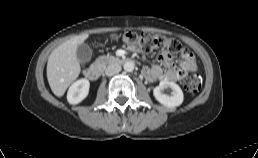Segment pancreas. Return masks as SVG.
Returning a JSON list of instances; mask_svg holds the SVG:
<instances>
[{
    "mask_svg": "<svg viewBox=\"0 0 258 158\" xmlns=\"http://www.w3.org/2000/svg\"><path fill=\"white\" fill-rule=\"evenodd\" d=\"M109 58L108 57H104V56H101L99 57L96 62H108Z\"/></svg>",
    "mask_w": 258,
    "mask_h": 158,
    "instance_id": "pancreas-1",
    "label": "pancreas"
}]
</instances>
